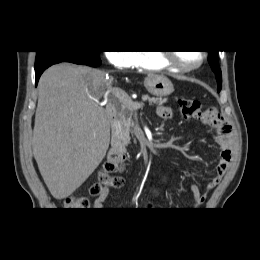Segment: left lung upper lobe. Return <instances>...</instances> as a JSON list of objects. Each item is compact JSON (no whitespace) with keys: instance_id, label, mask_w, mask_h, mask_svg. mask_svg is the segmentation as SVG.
<instances>
[{"instance_id":"left-lung-upper-lobe-1","label":"left lung upper lobe","mask_w":260,"mask_h":260,"mask_svg":"<svg viewBox=\"0 0 260 260\" xmlns=\"http://www.w3.org/2000/svg\"><path fill=\"white\" fill-rule=\"evenodd\" d=\"M209 64L216 74L217 82H218V91L221 89V84H222V74L221 70L219 68V63H218V56H217V51H209Z\"/></svg>"}]
</instances>
